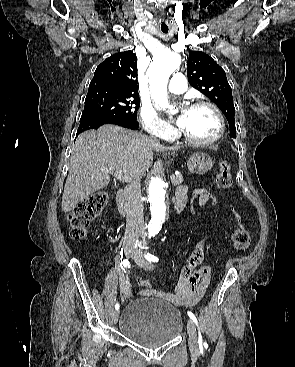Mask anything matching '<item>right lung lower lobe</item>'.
<instances>
[{
  "label": "right lung lower lobe",
  "mask_w": 295,
  "mask_h": 367,
  "mask_svg": "<svg viewBox=\"0 0 295 367\" xmlns=\"http://www.w3.org/2000/svg\"><path fill=\"white\" fill-rule=\"evenodd\" d=\"M104 124H114L119 125L125 128H129L132 130H136L139 127L138 122L135 119L129 118H113V119H103V120H93L88 122L80 123L79 128L77 130V135L81 132L88 130V129H97Z\"/></svg>",
  "instance_id": "right-lung-lower-lobe-1"
}]
</instances>
